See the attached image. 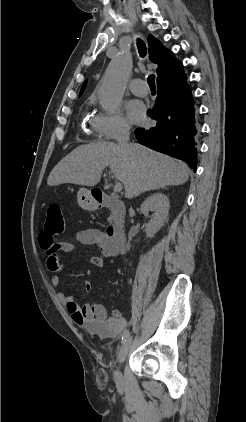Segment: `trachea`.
Masks as SVG:
<instances>
[{
    "instance_id": "1",
    "label": "trachea",
    "mask_w": 246,
    "mask_h": 422,
    "mask_svg": "<svg viewBox=\"0 0 246 422\" xmlns=\"http://www.w3.org/2000/svg\"><path fill=\"white\" fill-rule=\"evenodd\" d=\"M137 47H138V51H139L140 56L145 57V55H146V45L141 39L137 40ZM147 83H148L150 89H152V90L156 89L155 76L154 75L148 76Z\"/></svg>"
}]
</instances>
